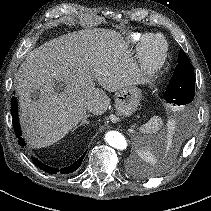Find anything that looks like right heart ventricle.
<instances>
[{
	"label": "right heart ventricle",
	"mask_w": 211,
	"mask_h": 211,
	"mask_svg": "<svg viewBox=\"0 0 211 211\" xmlns=\"http://www.w3.org/2000/svg\"><path fill=\"white\" fill-rule=\"evenodd\" d=\"M148 34L145 33H132L129 35V41L133 44V45H138L141 40Z\"/></svg>",
	"instance_id": "e07e8e85"
}]
</instances>
